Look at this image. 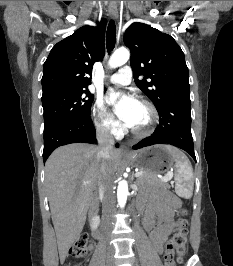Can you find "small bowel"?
Instances as JSON below:
<instances>
[{
	"instance_id": "c3829d8e",
	"label": "small bowel",
	"mask_w": 233,
	"mask_h": 266,
	"mask_svg": "<svg viewBox=\"0 0 233 266\" xmlns=\"http://www.w3.org/2000/svg\"><path fill=\"white\" fill-rule=\"evenodd\" d=\"M179 205L180 200L170 193H161L139 203L140 208L146 207L143 225L158 253L163 251V244L172 229Z\"/></svg>"
}]
</instances>
